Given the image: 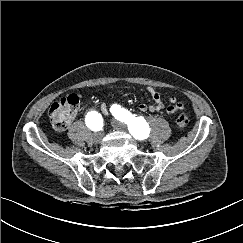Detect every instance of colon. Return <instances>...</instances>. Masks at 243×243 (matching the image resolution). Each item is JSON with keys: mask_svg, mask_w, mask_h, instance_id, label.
<instances>
[{"mask_svg": "<svg viewBox=\"0 0 243 243\" xmlns=\"http://www.w3.org/2000/svg\"><path fill=\"white\" fill-rule=\"evenodd\" d=\"M79 106V98L70 94L57 102H54L49 109V119L52 127L57 131L65 130L73 120ZM177 125L180 129L186 128L188 124L187 115L182 112L177 117Z\"/></svg>", "mask_w": 243, "mask_h": 243, "instance_id": "colon-1", "label": "colon"}]
</instances>
